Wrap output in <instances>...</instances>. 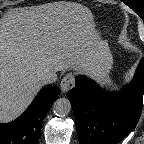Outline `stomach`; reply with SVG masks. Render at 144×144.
<instances>
[{
    "label": "stomach",
    "instance_id": "obj_1",
    "mask_svg": "<svg viewBox=\"0 0 144 144\" xmlns=\"http://www.w3.org/2000/svg\"><path fill=\"white\" fill-rule=\"evenodd\" d=\"M101 39L103 38L101 37ZM99 48L97 69L99 73H105L108 72L112 67L113 56L109 50L108 45H101Z\"/></svg>",
    "mask_w": 144,
    "mask_h": 144
}]
</instances>
